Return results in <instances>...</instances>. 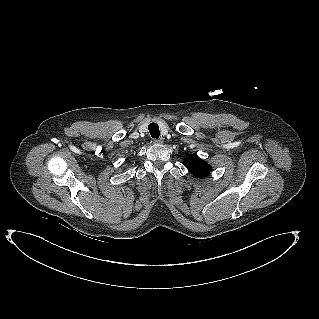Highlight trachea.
Returning <instances> with one entry per match:
<instances>
[{
  "label": "trachea",
  "instance_id": "obj_1",
  "mask_svg": "<svg viewBox=\"0 0 319 319\" xmlns=\"http://www.w3.org/2000/svg\"><path fill=\"white\" fill-rule=\"evenodd\" d=\"M150 135L152 136V138H159L160 135V131H159V126L156 123H150L148 126Z\"/></svg>",
  "mask_w": 319,
  "mask_h": 319
}]
</instances>
